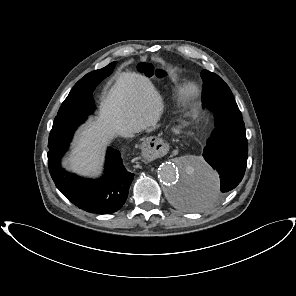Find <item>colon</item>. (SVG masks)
Instances as JSON below:
<instances>
[{
	"mask_svg": "<svg viewBox=\"0 0 296 296\" xmlns=\"http://www.w3.org/2000/svg\"><path fill=\"white\" fill-rule=\"evenodd\" d=\"M138 70L149 78L162 79L164 73L160 70H156L152 65L142 63L138 66Z\"/></svg>",
	"mask_w": 296,
	"mask_h": 296,
	"instance_id": "5ec220e1",
	"label": "colon"
}]
</instances>
